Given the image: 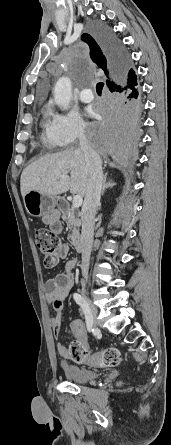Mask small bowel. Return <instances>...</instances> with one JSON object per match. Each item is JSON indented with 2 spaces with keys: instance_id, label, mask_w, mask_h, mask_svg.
Listing matches in <instances>:
<instances>
[{
  "instance_id": "c3829d8e",
  "label": "small bowel",
  "mask_w": 171,
  "mask_h": 445,
  "mask_svg": "<svg viewBox=\"0 0 171 445\" xmlns=\"http://www.w3.org/2000/svg\"><path fill=\"white\" fill-rule=\"evenodd\" d=\"M50 229L54 233H60L62 231V226L59 222L50 223ZM69 253V246L66 243L60 245L59 255L61 259L67 257ZM78 263L77 258L70 259L66 262L64 271L59 273L53 279L48 280L45 283L46 300L53 304L54 311L56 313L55 317L50 320L51 327L54 334L57 336L59 334L60 325L64 313L63 302L67 298L70 290L74 285V272L73 269ZM71 330L76 338V341L83 343L87 346V332L82 321L75 320L71 323ZM57 350L59 354L65 358L70 359V350L63 344H57ZM64 368H69V364L64 361L62 363Z\"/></svg>"
}]
</instances>
